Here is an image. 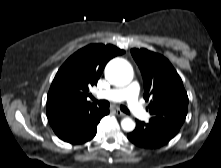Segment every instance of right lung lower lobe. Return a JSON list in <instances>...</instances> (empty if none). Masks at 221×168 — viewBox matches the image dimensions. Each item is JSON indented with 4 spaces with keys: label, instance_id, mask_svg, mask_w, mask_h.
I'll list each match as a JSON object with an SVG mask.
<instances>
[{
    "label": "right lung lower lobe",
    "instance_id": "obj_1",
    "mask_svg": "<svg viewBox=\"0 0 221 168\" xmlns=\"http://www.w3.org/2000/svg\"><path fill=\"white\" fill-rule=\"evenodd\" d=\"M108 114V108H100L96 112L84 114L62 123L52 124L51 127L55 134L67 143H84L96 135L97 125Z\"/></svg>",
    "mask_w": 221,
    "mask_h": 168
}]
</instances>
